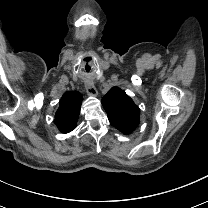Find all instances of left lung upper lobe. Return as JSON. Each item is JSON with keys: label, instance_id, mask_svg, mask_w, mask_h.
Segmentation results:
<instances>
[{"label": "left lung upper lobe", "instance_id": "left-lung-upper-lobe-1", "mask_svg": "<svg viewBox=\"0 0 208 208\" xmlns=\"http://www.w3.org/2000/svg\"><path fill=\"white\" fill-rule=\"evenodd\" d=\"M102 105L110 123L122 133L129 134L138 126L140 109L120 88L112 87L102 98Z\"/></svg>", "mask_w": 208, "mask_h": 208}]
</instances>
